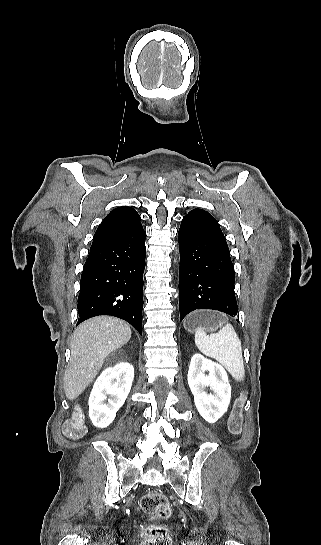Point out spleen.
Segmentation results:
<instances>
[{
	"label": "spleen",
	"mask_w": 321,
	"mask_h": 545,
	"mask_svg": "<svg viewBox=\"0 0 321 545\" xmlns=\"http://www.w3.org/2000/svg\"><path fill=\"white\" fill-rule=\"evenodd\" d=\"M221 325H223L222 329L212 335H207L202 327H198L195 333L196 347L203 355L223 365L235 381H244L241 341L230 323H221Z\"/></svg>",
	"instance_id": "3e777b00"
}]
</instances>
